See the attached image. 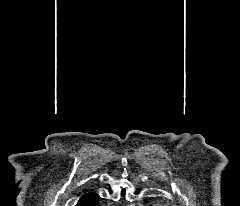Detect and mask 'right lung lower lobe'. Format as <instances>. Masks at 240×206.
I'll use <instances>...</instances> for the list:
<instances>
[{"instance_id":"right-lung-lower-lobe-1","label":"right lung lower lobe","mask_w":240,"mask_h":206,"mask_svg":"<svg viewBox=\"0 0 240 206\" xmlns=\"http://www.w3.org/2000/svg\"><path fill=\"white\" fill-rule=\"evenodd\" d=\"M77 206H99V195L95 192H89L83 195Z\"/></svg>"}]
</instances>
